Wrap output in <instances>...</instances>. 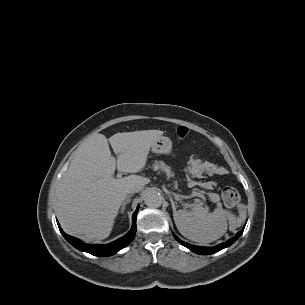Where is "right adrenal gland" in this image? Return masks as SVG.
<instances>
[{"instance_id": "right-adrenal-gland-1", "label": "right adrenal gland", "mask_w": 305, "mask_h": 305, "mask_svg": "<svg viewBox=\"0 0 305 305\" xmlns=\"http://www.w3.org/2000/svg\"><path fill=\"white\" fill-rule=\"evenodd\" d=\"M132 197V194L128 195L126 198H125V201L123 202L122 204V207H121V213L124 212L125 208H126V205L130 203V198Z\"/></svg>"}]
</instances>
